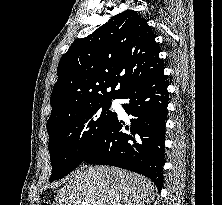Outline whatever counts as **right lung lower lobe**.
I'll use <instances>...</instances> for the list:
<instances>
[{"label": "right lung lower lobe", "mask_w": 222, "mask_h": 205, "mask_svg": "<svg viewBox=\"0 0 222 205\" xmlns=\"http://www.w3.org/2000/svg\"><path fill=\"white\" fill-rule=\"evenodd\" d=\"M163 68L129 87L121 96L131 125L113 121L98 135L83 161L90 164L112 165L140 173L150 178L161 191L165 123L169 93ZM125 128L127 132H123Z\"/></svg>", "instance_id": "1"}]
</instances>
